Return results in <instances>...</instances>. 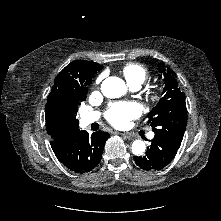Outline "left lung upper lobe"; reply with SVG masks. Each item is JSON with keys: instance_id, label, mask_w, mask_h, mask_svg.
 Returning a JSON list of instances; mask_svg holds the SVG:
<instances>
[{"instance_id": "5c2ea615", "label": "left lung upper lobe", "mask_w": 221, "mask_h": 221, "mask_svg": "<svg viewBox=\"0 0 221 221\" xmlns=\"http://www.w3.org/2000/svg\"><path fill=\"white\" fill-rule=\"evenodd\" d=\"M158 71L159 77L163 73L165 80L164 96L148 114V123L155 135L182 142L187 125L185 95L172 70H165L164 64L160 63Z\"/></svg>"}]
</instances>
